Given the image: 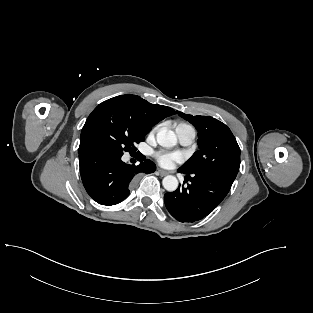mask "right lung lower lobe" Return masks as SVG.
I'll use <instances>...</instances> for the list:
<instances>
[{"mask_svg": "<svg viewBox=\"0 0 313 313\" xmlns=\"http://www.w3.org/2000/svg\"><path fill=\"white\" fill-rule=\"evenodd\" d=\"M122 153L93 148L79 153L80 174L87 193L101 205H115L130 193L139 173H153L155 164L143 156L138 166L124 163Z\"/></svg>", "mask_w": 313, "mask_h": 313, "instance_id": "obj_1", "label": "right lung lower lobe"}]
</instances>
